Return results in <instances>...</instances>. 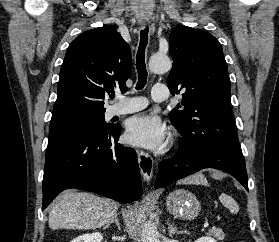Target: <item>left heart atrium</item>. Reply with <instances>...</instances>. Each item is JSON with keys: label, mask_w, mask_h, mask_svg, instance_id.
I'll list each match as a JSON object with an SVG mask.
<instances>
[{"label": "left heart atrium", "mask_w": 279, "mask_h": 242, "mask_svg": "<svg viewBox=\"0 0 279 242\" xmlns=\"http://www.w3.org/2000/svg\"><path fill=\"white\" fill-rule=\"evenodd\" d=\"M125 136L132 145L158 150L165 143L166 130L158 118L143 113L128 120Z\"/></svg>", "instance_id": "left-heart-atrium-1"}]
</instances>
